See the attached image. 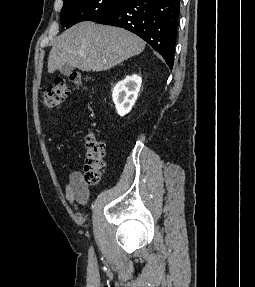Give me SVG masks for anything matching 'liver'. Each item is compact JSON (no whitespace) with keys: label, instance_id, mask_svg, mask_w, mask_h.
<instances>
[{"label":"liver","instance_id":"6515ba94","mask_svg":"<svg viewBox=\"0 0 255 287\" xmlns=\"http://www.w3.org/2000/svg\"><path fill=\"white\" fill-rule=\"evenodd\" d=\"M145 42L123 28L80 22L58 36L48 58V72L74 66L83 72H103L141 54Z\"/></svg>","mask_w":255,"mask_h":287}]
</instances>
